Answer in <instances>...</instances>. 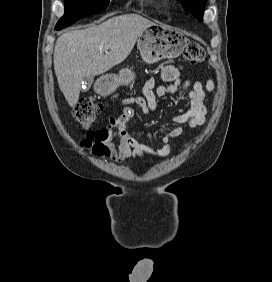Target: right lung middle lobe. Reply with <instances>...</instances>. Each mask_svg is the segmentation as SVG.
I'll return each mask as SVG.
<instances>
[{"label":"right lung middle lobe","instance_id":"obj_1","mask_svg":"<svg viewBox=\"0 0 272 282\" xmlns=\"http://www.w3.org/2000/svg\"><path fill=\"white\" fill-rule=\"evenodd\" d=\"M109 0H65V13L57 22L56 28H65L77 20L103 11Z\"/></svg>","mask_w":272,"mask_h":282}]
</instances>
